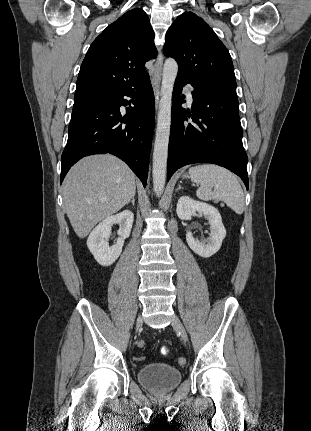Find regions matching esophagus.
Segmentation results:
<instances>
[{
    "label": "esophagus",
    "instance_id": "obj_1",
    "mask_svg": "<svg viewBox=\"0 0 311 431\" xmlns=\"http://www.w3.org/2000/svg\"><path fill=\"white\" fill-rule=\"evenodd\" d=\"M162 66H163V55L162 53H160L157 57L154 72L152 75L156 112L158 111V104L160 100V82H161V76H162Z\"/></svg>",
    "mask_w": 311,
    "mask_h": 431
}]
</instances>
